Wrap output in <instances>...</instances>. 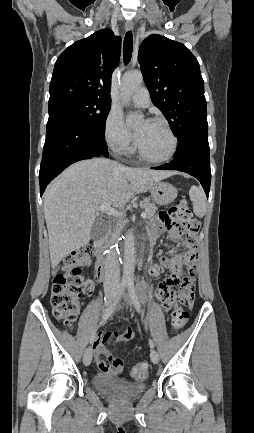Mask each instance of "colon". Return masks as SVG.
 <instances>
[{
    "mask_svg": "<svg viewBox=\"0 0 254 433\" xmlns=\"http://www.w3.org/2000/svg\"><path fill=\"white\" fill-rule=\"evenodd\" d=\"M159 219L164 225L172 226L185 233L194 242L200 223L193 214L186 200H179L168 211L159 214ZM91 263L90 248H81L67 255L61 263V270L54 278L51 295V306L55 317L66 326H72L77 319L80 309V299L83 294L93 291L94 283L85 278L83 270ZM182 305H190L192 300L179 298ZM189 319L187 309L176 306L171 314V326L173 330H181ZM149 364L139 362L131 372L135 380H144L149 373Z\"/></svg>",
    "mask_w": 254,
    "mask_h": 433,
    "instance_id": "colon-1",
    "label": "colon"
}]
</instances>
